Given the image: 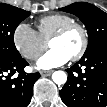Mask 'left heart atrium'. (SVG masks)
<instances>
[{
	"mask_svg": "<svg viewBox=\"0 0 107 107\" xmlns=\"http://www.w3.org/2000/svg\"><path fill=\"white\" fill-rule=\"evenodd\" d=\"M69 59L70 56L60 49H51L38 59L36 67L41 70H48L64 65Z\"/></svg>",
	"mask_w": 107,
	"mask_h": 107,
	"instance_id": "39dd6f15",
	"label": "left heart atrium"
}]
</instances>
